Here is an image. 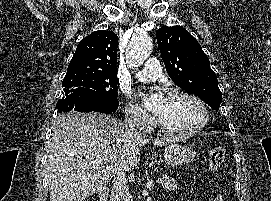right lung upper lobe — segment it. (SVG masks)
I'll return each mask as SVG.
<instances>
[{
  "instance_id": "cb5924a9",
  "label": "right lung upper lobe",
  "mask_w": 271,
  "mask_h": 201,
  "mask_svg": "<svg viewBox=\"0 0 271 201\" xmlns=\"http://www.w3.org/2000/svg\"><path fill=\"white\" fill-rule=\"evenodd\" d=\"M118 37L113 31H95L82 39L67 72L88 71L116 74Z\"/></svg>"
}]
</instances>
